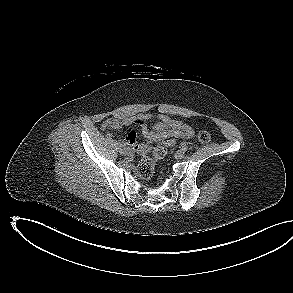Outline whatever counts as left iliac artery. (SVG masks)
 Wrapping results in <instances>:
<instances>
[{"label": "left iliac artery", "instance_id": "44dca946", "mask_svg": "<svg viewBox=\"0 0 293 293\" xmlns=\"http://www.w3.org/2000/svg\"><path fill=\"white\" fill-rule=\"evenodd\" d=\"M187 145L186 144H184V143H182L181 145H180V149L182 150V151H187Z\"/></svg>", "mask_w": 293, "mask_h": 293}]
</instances>
